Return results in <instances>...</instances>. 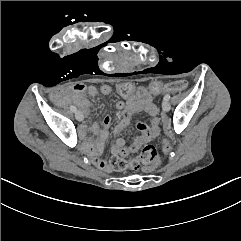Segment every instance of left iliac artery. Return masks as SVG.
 Returning <instances> with one entry per match:
<instances>
[{"mask_svg":"<svg viewBox=\"0 0 241 241\" xmlns=\"http://www.w3.org/2000/svg\"><path fill=\"white\" fill-rule=\"evenodd\" d=\"M169 99H170V95H169V94H166V95L164 96V100L168 101Z\"/></svg>","mask_w":241,"mask_h":241,"instance_id":"1","label":"left iliac artery"}]
</instances>
